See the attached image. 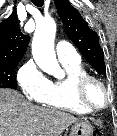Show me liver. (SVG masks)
Wrapping results in <instances>:
<instances>
[{"mask_svg":"<svg viewBox=\"0 0 117 136\" xmlns=\"http://www.w3.org/2000/svg\"><path fill=\"white\" fill-rule=\"evenodd\" d=\"M78 118L39 107L12 89H0V136H59Z\"/></svg>","mask_w":117,"mask_h":136,"instance_id":"liver-1","label":"liver"}]
</instances>
